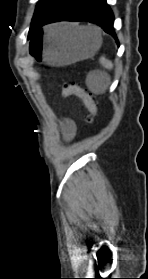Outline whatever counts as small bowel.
Segmentation results:
<instances>
[{"label": "small bowel", "instance_id": "c3829d8e", "mask_svg": "<svg viewBox=\"0 0 148 279\" xmlns=\"http://www.w3.org/2000/svg\"><path fill=\"white\" fill-rule=\"evenodd\" d=\"M76 131L75 124L72 121H67L65 126H64V136L66 139H71L73 138L74 134Z\"/></svg>", "mask_w": 148, "mask_h": 279}]
</instances>
